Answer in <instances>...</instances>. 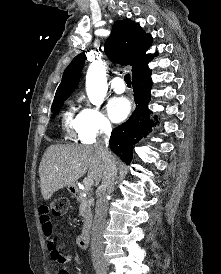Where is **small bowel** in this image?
<instances>
[{
  "label": "small bowel",
  "mask_w": 221,
  "mask_h": 274,
  "mask_svg": "<svg viewBox=\"0 0 221 274\" xmlns=\"http://www.w3.org/2000/svg\"><path fill=\"white\" fill-rule=\"evenodd\" d=\"M39 220L43 235L46 239L47 249L50 252V257L52 261L59 263L63 266L59 270L58 274H70L68 269L66 268V265L69 263L71 257L62 251L58 241L55 238L54 224L48 207L41 206L39 208ZM78 263L80 265L83 264L82 261H79Z\"/></svg>",
  "instance_id": "small-bowel-1"
}]
</instances>
